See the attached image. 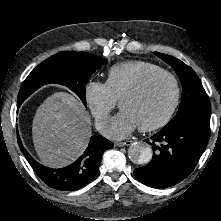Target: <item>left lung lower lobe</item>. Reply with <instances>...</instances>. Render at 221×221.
Listing matches in <instances>:
<instances>
[{"instance_id": "obj_1", "label": "left lung lower lobe", "mask_w": 221, "mask_h": 221, "mask_svg": "<svg viewBox=\"0 0 221 221\" xmlns=\"http://www.w3.org/2000/svg\"><path fill=\"white\" fill-rule=\"evenodd\" d=\"M209 136V124L199 121H188L174 129L159 131L151 137L152 160L148 165L135 169L134 175L153 188L181 182L194 170Z\"/></svg>"}]
</instances>
